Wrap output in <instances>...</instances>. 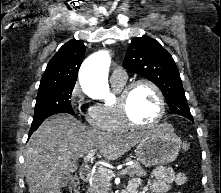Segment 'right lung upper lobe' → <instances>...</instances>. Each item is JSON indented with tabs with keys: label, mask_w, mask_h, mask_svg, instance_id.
<instances>
[{
	"label": "right lung upper lobe",
	"mask_w": 221,
	"mask_h": 193,
	"mask_svg": "<svg viewBox=\"0 0 221 193\" xmlns=\"http://www.w3.org/2000/svg\"><path fill=\"white\" fill-rule=\"evenodd\" d=\"M84 53L83 42L72 39L65 43L48 63L39 88L75 85Z\"/></svg>",
	"instance_id": "right-lung-upper-lobe-1"
}]
</instances>
